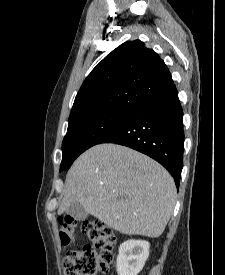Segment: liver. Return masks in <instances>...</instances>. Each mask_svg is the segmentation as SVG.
Segmentation results:
<instances>
[{
  "label": "liver",
  "mask_w": 225,
  "mask_h": 275,
  "mask_svg": "<svg viewBox=\"0 0 225 275\" xmlns=\"http://www.w3.org/2000/svg\"><path fill=\"white\" fill-rule=\"evenodd\" d=\"M74 202L120 233L157 238L172 215L176 186L148 156L121 145L98 144L68 171L58 214Z\"/></svg>",
  "instance_id": "1"
}]
</instances>
